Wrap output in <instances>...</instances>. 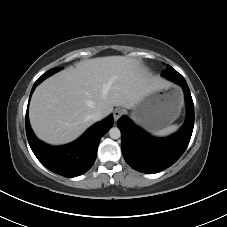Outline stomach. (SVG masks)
I'll return each instance as SVG.
<instances>
[{
	"mask_svg": "<svg viewBox=\"0 0 227 227\" xmlns=\"http://www.w3.org/2000/svg\"><path fill=\"white\" fill-rule=\"evenodd\" d=\"M181 106L179 89L151 91L133 108L132 119L149 131H156L172 123L178 117Z\"/></svg>",
	"mask_w": 227,
	"mask_h": 227,
	"instance_id": "1",
	"label": "stomach"
}]
</instances>
